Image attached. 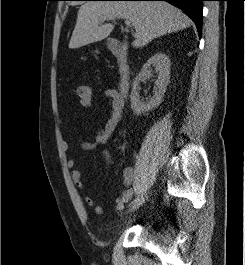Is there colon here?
I'll list each match as a JSON object with an SVG mask.
<instances>
[{
  "mask_svg": "<svg viewBox=\"0 0 245 265\" xmlns=\"http://www.w3.org/2000/svg\"><path fill=\"white\" fill-rule=\"evenodd\" d=\"M76 95L82 106L89 104L93 100V90L89 85H80L76 88Z\"/></svg>",
  "mask_w": 245,
  "mask_h": 265,
  "instance_id": "colon-1",
  "label": "colon"
}]
</instances>
